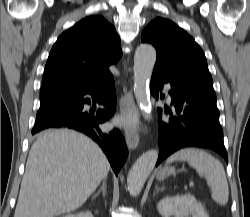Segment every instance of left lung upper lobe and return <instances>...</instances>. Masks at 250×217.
<instances>
[{
    "instance_id": "obj_1",
    "label": "left lung upper lobe",
    "mask_w": 250,
    "mask_h": 217,
    "mask_svg": "<svg viewBox=\"0 0 250 217\" xmlns=\"http://www.w3.org/2000/svg\"><path fill=\"white\" fill-rule=\"evenodd\" d=\"M141 41L156 48L153 73L174 82L213 86L202 49L172 21L155 18L143 31Z\"/></svg>"
}]
</instances>
